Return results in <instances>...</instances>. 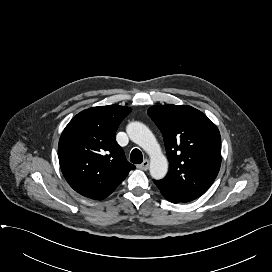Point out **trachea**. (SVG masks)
Here are the masks:
<instances>
[{
    "label": "trachea",
    "mask_w": 272,
    "mask_h": 272,
    "mask_svg": "<svg viewBox=\"0 0 272 272\" xmlns=\"http://www.w3.org/2000/svg\"><path fill=\"white\" fill-rule=\"evenodd\" d=\"M130 161L134 164H140L143 161L142 152L139 149H133L130 155Z\"/></svg>",
    "instance_id": "trachea-1"
}]
</instances>
